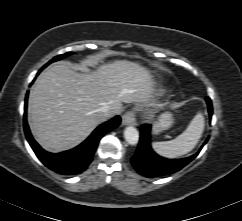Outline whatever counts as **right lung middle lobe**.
Returning a JSON list of instances; mask_svg holds the SVG:
<instances>
[{
  "label": "right lung middle lobe",
  "instance_id": "dd1d6c3e",
  "mask_svg": "<svg viewBox=\"0 0 242 221\" xmlns=\"http://www.w3.org/2000/svg\"><path fill=\"white\" fill-rule=\"evenodd\" d=\"M70 54H71V52L66 53V54H63V55H59V56L55 57L54 59H52L48 64H50V63L53 62V61L60 60V59L66 57V56H68V55H70ZM48 64H46L45 66H47ZM45 66H44V67H45Z\"/></svg>",
  "mask_w": 242,
  "mask_h": 221
}]
</instances>
